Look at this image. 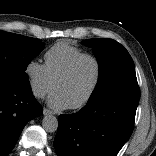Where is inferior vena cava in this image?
Returning <instances> with one entry per match:
<instances>
[{
  "mask_svg": "<svg viewBox=\"0 0 156 156\" xmlns=\"http://www.w3.org/2000/svg\"><path fill=\"white\" fill-rule=\"evenodd\" d=\"M34 95L37 97H43L44 96V92L38 89L34 90Z\"/></svg>",
  "mask_w": 156,
  "mask_h": 156,
  "instance_id": "inferior-vena-cava-1",
  "label": "inferior vena cava"
}]
</instances>
